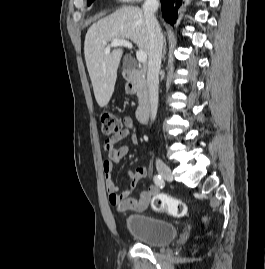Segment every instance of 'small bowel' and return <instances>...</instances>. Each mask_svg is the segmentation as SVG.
I'll use <instances>...</instances> for the list:
<instances>
[{
	"label": "small bowel",
	"mask_w": 265,
	"mask_h": 269,
	"mask_svg": "<svg viewBox=\"0 0 265 269\" xmlns=\"http://www.w3.org/2000/svg\"><path fill=\"white\" fill-rule=\"evenodd\" d=\"M122 124L123 130L121 134L114 138L106 139L103 143V149L107 155L106 160L102 164L105 187L109 195V203L116 207L118 211L142 213L147 210L152 197L157 195L160 189L157 185H150L146 190L141 191L137 198L131 197L140 179L147 174V170L143 165L128 172L129 181L124 190L120 191L113 181V165L120 162L129 152V146H117V144L129 134L133 135L134 143L137 142L135 136L136 126L132 117L125 116Z\"/></svg>",
	"instance_id": "1"
}]
</instances>
